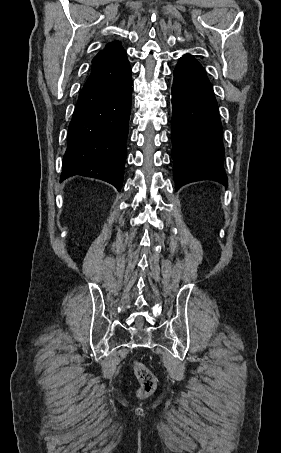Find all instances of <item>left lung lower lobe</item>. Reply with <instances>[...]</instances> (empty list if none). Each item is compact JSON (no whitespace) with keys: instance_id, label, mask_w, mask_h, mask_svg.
Here are the masks:
<instances>
[{"instance_id":"1","label":"left lung lower lobe","mask_w":281,"mask_h":453,"mask_svg":"<svg viewBox=\"0 0 281 453\" xmlns=\"http://www.w3.org/2000/svg\"><path fill=\"white\" fill-rule=\"evenodd\" d=\"M172 109L176 190L201 180L227 186L218 105L205 70L191 55L174 70Z\"/></svg>"}]
</instances>
